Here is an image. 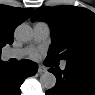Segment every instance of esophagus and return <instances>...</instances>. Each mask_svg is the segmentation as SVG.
Listing matches in <instances>:
<instances>
[{
    "label": "esophagus",
    "mask_w": 95,
    "mask_h": 95,
    "mask_svg": "<svg viewBox=\"0 0 95 95\" xmlns=\"http://www.w3.org/2000/svg\"><path fill=\"white\" fill-rule=\"evenodd\" d=\"M47 70H46V68L44 67V66H42V65H39V67H38V73L39 74H42V73H44V72H46Z\"/></svg>",
    "instance_id": "obj_1"
}]
</instances>
